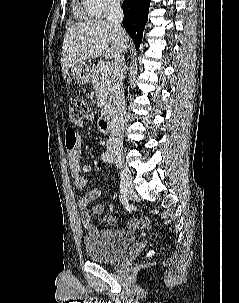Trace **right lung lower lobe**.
<instances>
[{
    "instance_id": "right-lung-lower-lobe-1",
    "label": "right lung lower lobe",
    "mask_w": 239,
    "mask_h": 303,
    "mask_svg": "<svg viewBox=\"0 0 239 303\" xmlns=\"http://www.w3.org/2000/svg\"><path fill=\"white\" fill-rule=\"evenodd\" d=\"M150 0H124L122 8L124 13L123 26L134 41L138 50L142 41V34L148 19Z\"/></svg>"
}]
</instances>
